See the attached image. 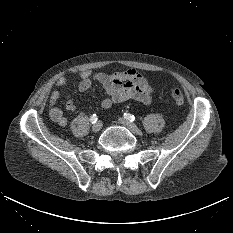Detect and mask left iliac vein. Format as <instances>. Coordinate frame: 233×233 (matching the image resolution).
<instances>
[{
  "label": "left iliac vein",
  "instance_id": "obj_1",
  "mask_svg": "<svg viewBox=\"0 0 233 233\" xmlns=\"http://www.w3.org/2000/svg\"><path fill=\"white\" fill-rule=\"evenodd\" d=\"M119 122L125 126L127 129H129L132 133L134 134H140L141 131L140 129L132 122L126 120V119H123V118H120L119 119Z\"/></svg>",
  "mask_w": 233,
  "mask_h": 233
}]
</instances>
